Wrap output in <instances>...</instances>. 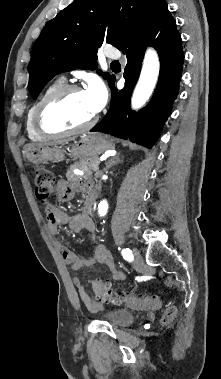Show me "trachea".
I'll list each match as a JSON object with an SVG mask.
<instances>
[{
  "label": "trachea",
  "instance_id": "1",
  "mask_svg": "<svg viewBox=\"0 0 221 379\" xmlns=\"http://www.w3.org/2000/svg\"><path fill=\"white\" fill-rule=\"evenodd\" d=\"M112 64H119V61H113Z\"/></svg>",
  "mask_w": 221,
  "mask_h": 379
}]
</instances>
